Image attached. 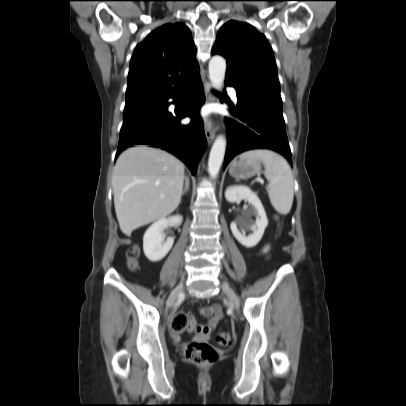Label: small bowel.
Here are the masks:
<instances>
[{
  "mask_svg": "<svg viewBox=\"0 0 406 406\" xmlns=\"http://www.w3.org/2000/svg\"><path fill=\"white\" fill-rule=\"evenodd\" d=\"M268 251H269V245H264L262 247L260 253L262 255H266L268 253ZM201 313L204 317L209 318V323L207 326L208 329L206 331H202V334L207 335L210 330L215 328L217 322L221 319V317H222L221 307L218 304L206 306V307L201 308ZM173 338L175 340H178L179 333L174 332Z\"/></svg>",
  "mask_w": 406,
  "mask_h": 406,
  "instance_id": "obj_1",
  "label": "small bowel"
}]
</instances>
